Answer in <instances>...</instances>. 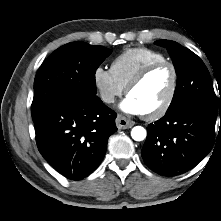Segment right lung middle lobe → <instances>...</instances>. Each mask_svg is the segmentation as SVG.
<instances>
[{"mask_svg": "<svg viewBox=\"0 0 221 221\" xmlns=\"http://www.w3.org/2000/svg\"><path fill=\"white\" fill-rule=\"evenodd\" d=\"M110 52L85 42L68 43L55 50L35 77L32 117L63 96L95 97V72Z\"/></svg>", "mask_w": 221, "mask_h": 221, "instance_id": "obj_1", "label": "right lung middle lobe"}]
</instances>
